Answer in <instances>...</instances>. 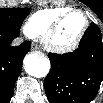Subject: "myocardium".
Segmentation results:
<instances>
[{
    "label": "myocardium",
    "instance_id": "1",
    "mask_svg": "<svg viewBox=\"0 0 103 103\" xmlns=\"http://www.w3.org/2000/svg\"><path fill=\"white\" fill-rule=\"evenodd\" d=\"M75 13H80L84 16L85 24H84L83 30L81 31L79 36L72 43L65 45V46L54 45L52 43L53 35L59 29L61 24L69 16H71ZM88 28H89V18L87 16L86 12L81 9H70V10L64 12L63 14H61L60 16H58L57 18H55L51 22V24L46 28V30L42 34L41 41H42L44 48L47 49L48 51L58 53V54L68 53V52L75 50L80 45V43L82 42V40L84 39V37L88 31Z\"/></svg>",
    "mask_w": 103,
    "mask_h": 103
}]
</instances>
